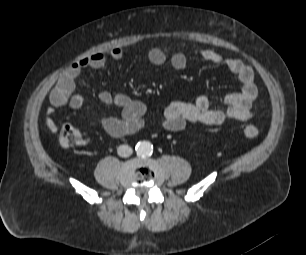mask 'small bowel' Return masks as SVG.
<instances>
[{
  "mask_svg": "<svg viewBox=\"0 0 306 255\" xmlns=\"http://www.w3.org/2000/svg\"><path fill=\"white\" fill-rule=\"evenodd\" d=\"M198 56L214 65H223L233 74L239 84L240 90L227 94L224 97L226 107L224 109L210 108L207 96L201 95L194 102L174 101L164 110L162 125L171 132L184 130L190 123H202L205 125H221L228 120L246 121L252 117V104L257 97V87L254 83L252 68L237 58H224L218 52L211 49H203ZM109 57L114 61L123 58L120 48H113ZM148 61L161 66L167 62L166 53L157 47L147 52ZM107 57L103 53H93L88 57L79 59L67 67L59 76L55 86L49 93L51 106L47 109L46 127L51 131L57 130L53 119L55 109L69 105L79 110L85 108V100L82 95L75 93L76 80L85 69H101L105 66ZM170 65L176 70H182L187 65V57L182 52L172 54ZM103 104H113L120 108L119 117H104L100 125L104 131L112 137H123L134 134L143 126V117L146 114V105L131 99L124 93L102 91L98 96Z\"/></svg>",
  "mask_w": 306,
  "mask_h": 255,
  "instance_id": "small-bowel-1",
  "label": "small bowel"
}]
</instances>
